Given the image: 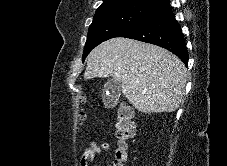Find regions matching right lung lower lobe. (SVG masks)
I'll return each mask as SVG.
<instances>
[{
	"instance_id": "98d812e1",
	"label": "right lung lower lobe",
	"mask_w": 227,
	"mask_h": 166,
	"mask_svg": "<svg viewBox=\"0 0 227 166\" xmlns=\"http://www.w3.org/2000/svg\"><path fill=\"white\" fill-rule=\"evenodd\" d=\"M117 37L131 38L163 47L188 63L184 36L167 1L145 19Z\"/></svg>"
}]
</instances>
